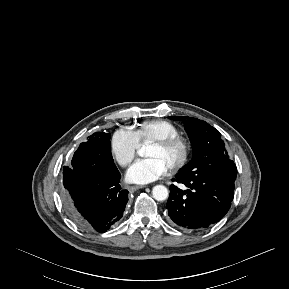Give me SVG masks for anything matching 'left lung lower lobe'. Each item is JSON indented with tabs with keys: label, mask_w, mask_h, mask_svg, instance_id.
I'll use <instances>...</instances> for the list:
<instances>
[{
	"label": "left lung lower lobe",
	"mask_w": 289,
	"mask_h": 289,
	"mask_svg": "<svg viewBox=\"0 0 289 289\" xmlns=\"http://www.w3.org/2000/svg\"><path fill=\"white\" fill-rule=\"evenodd\" d=\"M185 184L183 191L170 186L167 219L177 227L201 229L217 223L228 212L234 197V184L213 175L186 178L179 173L172 181Z\"/></svg>",
	"instance_id": "0a47b994"
}]
</instances>
